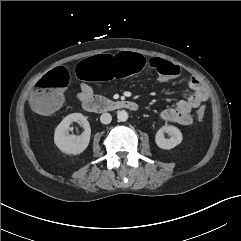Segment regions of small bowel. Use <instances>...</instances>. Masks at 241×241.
I'll return each instance as SVG.
<instances>
[{"label":"small bowel","instance_id":"small-bowel-1","mask_svg":"<svg viewBox=\"0 0 241 241\" xmlns=\"http://www.w3.org/2000/svg\"><path fill=\"white\" fill-rule=\"evenodd\" d=\"M189 87L193 91L189 97L179 100L173 107L162 110L160 117L163 120L175 122L184 126L192 124L193 118L190 114L191 111L199 108L202 103L207 100L208 94L202 82L195 77L190 78ZM93 96L94 94L91 87L86 83H82L77 94L78 99L84 101Z\"/></svg>","mask_w":241,"mask_h":241}]
</instances>
